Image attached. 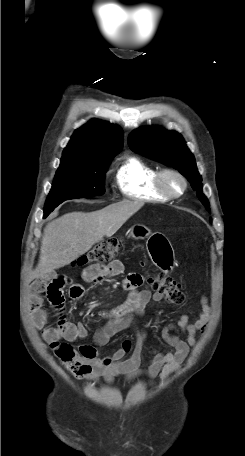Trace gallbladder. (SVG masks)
I'll return each instance as SVG.
<instances>
[{
  "instance_id": "1",
  "label": "gallbladder",
  "mask_w": 245,
  "mask_h": 456,
  "mask_svg": "<svg viewBox=\"0 0 245 456\" xmlns=\"http://www.w3.org/2000/svg\"><path fill=\"white\" fill-rule=\"evenodd\" d=\"M55 277H56V274L54 272L53 273H49L47 278H45L44 280L41 279V283L47 285L48 281L54 279Z\"/></svg>"
}]
</instances>
